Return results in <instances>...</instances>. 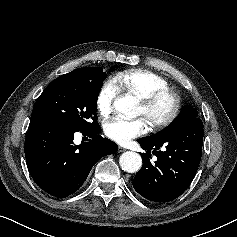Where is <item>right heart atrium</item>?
Listing matches in <instances>:
<instances>
[{
    "label": "right heart atrium",
    "instance_id": "obj_1",
    "mask_svg": "<svg viewBox=\"0 0 237 237\" xmlns=\"http://www.w3.org/2000/svg\"><path fill=\"white\" fill-rule=\"evenodd\" d=\"M118 94L119 88L113 80H107L101 85L96 97V109L102 117L111 113Z\"/></svg>",
    "mask_w": 237,
    "mask_h": 237
}]
</instances>
